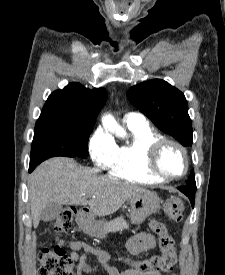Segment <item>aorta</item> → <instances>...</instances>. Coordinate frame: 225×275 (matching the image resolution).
Instances as JSON below:
<instances>
[{"instance_id":"762f6f07","label":"aorta","mask_w":225,"mask_h":275,"mask_svg":"<svg viewBox=\"0 0 225 275\" xmlns=\"http://www.w3.org/2000/svg\"><path fill=\"white\" fill-rule=\"evenodd\" d=\"M102 124L106 131L115 134L117 137L126 136V131L115 121L112 116H104L102 118Z\"/></svg>"}]
</instances>
